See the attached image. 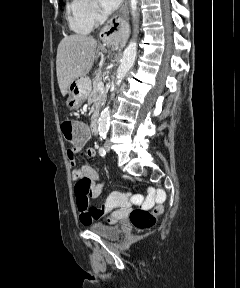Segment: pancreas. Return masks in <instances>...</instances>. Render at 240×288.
I'll return each instance as SVG.
<instances>
[{
    "label": "pancreas",
    "mask_w": 240,
    "mask_h": 288,
    "mask_svg": "<svg viewBox=\"0 0 240 288\" xmlns=\"http://www.w3.org/2000/svg\"><path fill=\"white\" fill-rule=\"evenodd\" d=\"M100 80H101V75H100V72L97 71L93 79V91L88 98V103L89 104L93 103L95 105V112L105 102V99L107 96V90L105 88L103 90L98 89V83Z\"/></svg>",
    "instance_id": "obj_1"
}]
</instances>
